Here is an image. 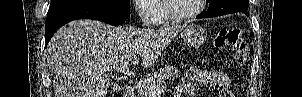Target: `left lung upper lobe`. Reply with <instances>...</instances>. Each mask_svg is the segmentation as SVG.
Instances as JSON below:
<instances>
[{
	"mask_svg": "<svg viewBox=\"0 0 302 97\" xmlns=\"http://www.w3.org/2000/svg\"><path fill=\"white\" fill-rule=\"evenodd\" d=\"M207 2L210 5L208 10L219 15L234 12L246 13L249 5V0H207Z\"/></svg>",
	"mask_w": 302,
	"mask_h": 97,
	"instance_id": "left-lung-upper-lobe-1",
	"label": "left lung upper lobe"
}]
</instances>
